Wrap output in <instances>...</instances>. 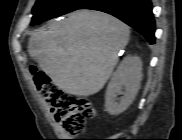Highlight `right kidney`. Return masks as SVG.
Instances as JSON below:
<instances>
[{
    "instance_id": "ca27d5eb",
    "label": "right kidney",
    "mask_w": 182,
    "mask_h": 140,
    "mask_svg": "<svg viewBox=\"0 0 182 140\" xmlns=\"http://www.w3.org/2000/svg\"><path fill=\"white\" fill-rule=\"evenodd\" d=\"M142 80V61L139 57H126L113 73L105 95V108L111 115L125 111L133 102ZM118 95H123L120 99Z\"/></svg>"
}]
</instances>
